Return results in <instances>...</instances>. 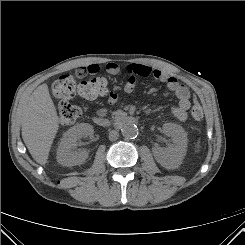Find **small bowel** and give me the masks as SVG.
Wrapping results in <instances>:
<instances>
[{"label": "small bowel", "instance_id": "c3829d8e", "mask_svg": "<svg viewBox=\"0 0 245 245\" xmlns=\"http://www.w3.org/2000/svg\"><path fill=\"white\" fill-rule=\"evenodd\" d=\"M98 64H89L87 66L79 67L76 71V75L79 78L84 77L87 74H96L99 72ZM105 69L110 75H119L121 68L118 64L114 62H109L106 64ZM128 73V78L124 83L123 91L127 94L134 92L137 87L138 79L140 77H151L158 81H161L166 84L167 88L174 93L178 99L177 104L172 108L173 115L179 121H186L189 117V109L191 107L190 102V91L182 83H180L176 78L167 74L166 72L153 68L148 65L132 63L126 67ZM122 98V94L116 90H112L108 93V103L115 104ZM97 116H105L107 114L106 109H100L97 111Z\"/></svg>", "mask_w": 245, "mask_h": 245}]
</instances>
